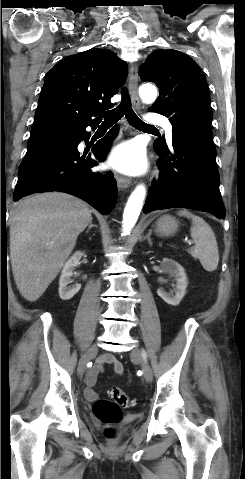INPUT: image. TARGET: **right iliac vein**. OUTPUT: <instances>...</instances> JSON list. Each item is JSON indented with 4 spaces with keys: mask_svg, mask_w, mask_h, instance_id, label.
Segmentation results:
<instances>
[{
    "mask_svg": "<svg viewBox=\"0 0 245 479\" xmlns=\"http://www.w3.org/2000/svg\"><path fill=\"white\" fill-rule=\"evenodd\" d=\"M98 351V346L95 344V345H92L88 351L83 355V357L80 359L79 361V364H78V375L80 377L83 376L85 370H86V366H87V363L96 355Z\"/></svg>",
    "mask_w": 245,
    "mask_h": 479,
    "instance_id": "right-iliac-vein-1",
    "label": "right iliac vein"
}]
</instances>
